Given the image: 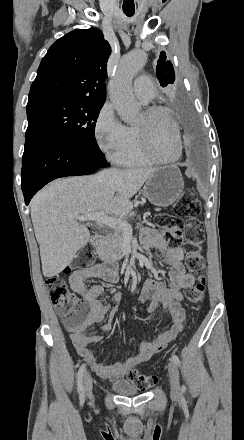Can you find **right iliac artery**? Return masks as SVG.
I'll list each match as a JSON object with an SVG mask.
<instances>
[{
  "label": "right iliac artery",
  "instance_id": "right-iliac-artery-1",
  "mask_svg": "<svg viewBox=\"0 0 244 440\" xmlns=\"http://www.w3.org/2000/svg\"><path fill=\"white\" fill-rule=\"evenodd\" d=\"M86 371V364L83 363L78 371V377H77V389L78 393L80 395V403H84V387H83V376Z\"/></svg>",
  "mask_w": 244,
  "mask_h": 440
}]
</instances>
